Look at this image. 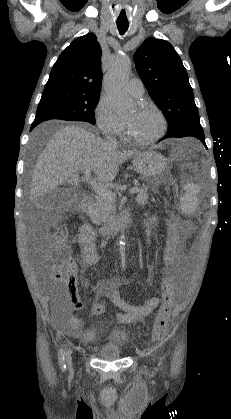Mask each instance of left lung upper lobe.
<instances>
[{"label":"left lung upper lobe","instance_id":"obj_1","mask_svg":"<svg viewBox=\"0 0 231 419\" xmlns=\"http://www.w3.org/2000/svg\"><path fill=\"white\" fill-rule=\"evenodd\" d=\"M134 60L148 93L168 120L167 135L200 127L188 75L173 46L161 39L148 38L137 49Z\"/></svg>","mask_w":231,"mask_h":419}]
</instances>
